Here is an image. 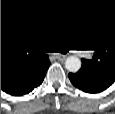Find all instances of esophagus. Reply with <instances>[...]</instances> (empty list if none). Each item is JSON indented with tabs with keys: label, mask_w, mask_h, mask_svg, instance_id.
<instances>
[{
	"label": "esophagus",
	"mask_w": 115,
	"mask_h": 114,
	"mask_svg": "<svg viewBox=\"0 0 115 114\" xmlns=\"http://www.w3.org/2000/svg\"><path fill=\"white\" fill-rule=\"evenodd\" d=\"M65 59H66V56H64V55H59V56H57V60H58V61L63 62V61H65Z\"/></svg>",
	"instance_id": "obj_1"
}]
</instances>
